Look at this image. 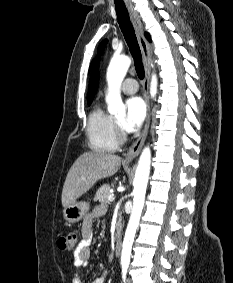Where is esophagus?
<instances>
[{
    "instance_id": "1",
    "label": "esophagus",
    "mask_w": 233,
    "mask_h": 283,
    "mask_svg": "<svg viewBox=\"0 0 233 283\" xmlns=\"http://www.w3.org/2000/svg\"><path fill=\"white\" fill-rule=\"evenodd\" d=\"M128 9L131 15L132 23L134 25L137 34L138 42L142 53L144 68H145V79L143 83V89H144V99L147 106V116L142 133L137 138V140L131 145L127 154L124 157L125 162H131L139 155L140 150L147 137L150 126V119H151V107H150L148 89H149V80H150V69L152 66V50L149 42L144 37L143 26L140 17L132 7H129Z\"/></svg>"
}]
</instances>
